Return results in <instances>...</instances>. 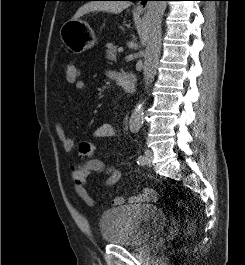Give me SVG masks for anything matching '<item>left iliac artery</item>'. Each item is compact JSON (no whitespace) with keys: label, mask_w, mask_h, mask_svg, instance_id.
I'll return each mask as SVG.
<instances>
[{"label":"left iliac artery","mask_w":245,"mask_h":265,"mask_svg":"<svg viewBox=\"0 0 245 265\" xmlns=\"http://www.w3.org/2000/svg\"><path fill=\"white\" fill-rule=\"evenodd\" d=\"M137 163L139 165H143L144 163V156L140 155L138 158H137Z\"/></svg>","instance_id":"44dca946"}]
</instances>
